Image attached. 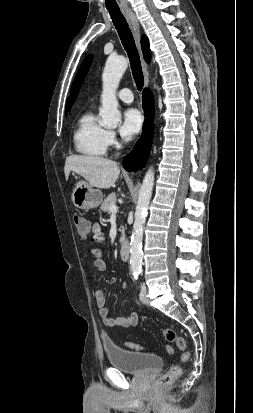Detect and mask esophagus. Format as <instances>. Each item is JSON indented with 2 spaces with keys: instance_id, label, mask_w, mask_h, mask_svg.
<instances>
[{
  "instance_id": "34e87169",
  "label": "esophagus",
  "mask_w": 253,
  "mask_h": 413,
  "mask_svg": "<svg viewBox=\"0 0 253 413\" xmlns=\"http://www.w3.org/2000/svg\"><path fill=\"white\" fill-rule=\"evenodd\" d=\"M125 17L127 18L131 29L133 31L135 40H136V44L139 48L140 54H141V58H142V52H141V46H140V36H141V32H140V25H139V21L137 16L135 15L134 12L132 11H125L124 12ZM142 67H143V73H144V85L145 87H148L149 84V74H148V65L147 63L144 61V59L142 58Z\"/></svg>"
}]
</instances>
